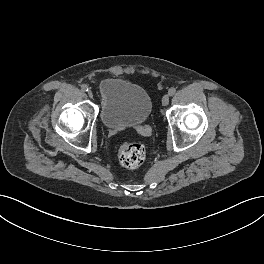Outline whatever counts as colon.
<instances>
[{"instance_id": "obj_1", "label": "colon", "mask_w": 264, "mask_h": 264, "mask_svg": "<svg viewBox=\"0 0 264 264\" xmlns=\"http://www.w3.org/2000/svg\"><path fill=\"white\" fill-rule=\"evenodd\" d=\"M118 159L123 167L136 169L145 162L146 150L139 143H124L119 147Z\"/></svg>"}]
</instances>
